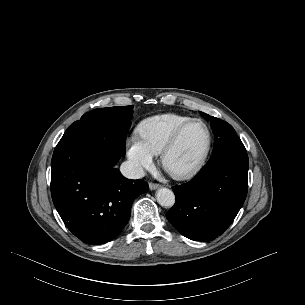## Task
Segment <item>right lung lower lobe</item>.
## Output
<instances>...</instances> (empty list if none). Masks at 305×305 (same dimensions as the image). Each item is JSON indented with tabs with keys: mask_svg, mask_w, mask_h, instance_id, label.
<instances>
[{
	"mask_svg": "<svg viewBox=\"0 0 305 305\" xmlns=\"http://www.w3.org/2000/svg\"><path fill=\"white\" fill-rule=\"evenodd\" d=\"M122 156L109 140L100 138L54 150L52 200L66 227L84 243L115 238L130 218L134 199L149 189L145 181L129 180L114 167Z\"/></svg>",
	"mask_w": 305,
	"mask_h": 305,
	"instance_id": "right-lung-lower-lobe-1",
	"label": "right lung lower lobe"
}]
</instances>
